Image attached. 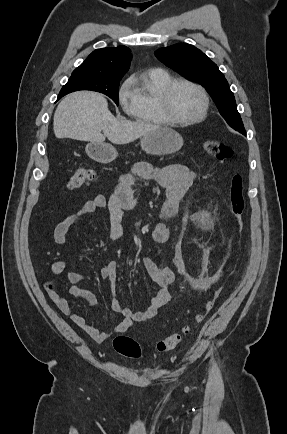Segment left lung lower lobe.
Returning <instances> with one entry per match:
<instances>
[{
	"label": "left lung lower lobe",
	"mask_w": 287,
	"mask_h": 434,
	"mask_svg": "<svg viewBox=\"0 0 287 434\" xmlns=\"http://www.w3.org/2000/svg\"><path fill=\"white\" fill-rule=\"evenodd\" d=\"M240 133H242V134H244V135H245V132H240Z\"/></svg>",
	"instance_id": "1"
}]
</instances>
